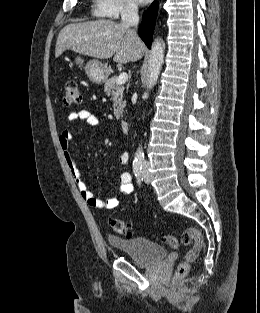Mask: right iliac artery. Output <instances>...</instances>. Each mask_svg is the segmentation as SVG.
<instances>
[{
    "instance_id": "obj_1",
    "label": "right iliac artery",
    "mask_w": 260,
    "mask_h": 313,
    "mask_svg": "<svg viewBox=\"0 0 260 313\" xmlns=\"http://www.w3.org/2000/svg\"><path fill=\"white\" fill-rule=\"evenodd\" d=\"M133 172H134V175L137 178L138 184L140 185L141 182L143 181V168H142V165H139V164L134 165L133 166Z\"/></svg>"
}]
</instances>
